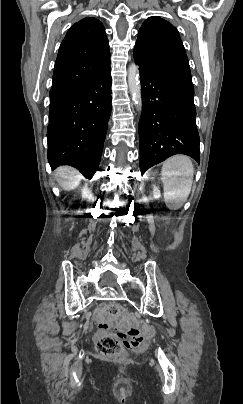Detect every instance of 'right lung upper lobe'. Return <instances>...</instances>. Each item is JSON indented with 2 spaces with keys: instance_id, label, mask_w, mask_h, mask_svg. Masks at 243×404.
Returning a JSON list of instances; mask_svg holds the SVG:
<instances>
[{
  "instance_id": "cb5924a9",
  "label": "right lung upper lobe",
  "mask_w": 243,
  "mask_h": 404,
  "mask_svg": "<svg viewBox=\"0 0 243 404\" xmlns=\"http://www.w3.org/2000/svg\"><path fill=\"white\" fill-rule=\"evenodd\" d=\"M110 70V48L102 23L93 17L75 23L62 41L49 94L84 84Z\"/></svg>"
}]
</instances>
